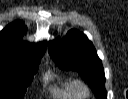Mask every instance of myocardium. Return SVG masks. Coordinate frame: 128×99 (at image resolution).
<instances>
[{
    "label": "myocardium",
    "instance_id": "obj_1",
    "mask_svg": "<svg viewBox=\"0 0 128 99\" xmlns=\"http://www.w3.org/2000/svg\"><path fill=\"white\" fill-rule=\"evenodd\" d=\"M73 88L76 95L80 98L88 97L90 94L88 85L82 80L73 81Z\"/></svg>",
    "mask_w": 128,
    "mask_h": 99
}]
</instances>
